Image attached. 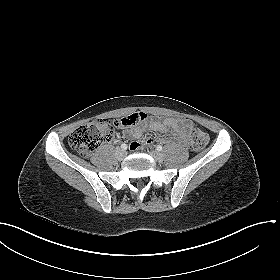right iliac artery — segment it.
<instances>
[{"label": "right iliac artery", "mask_w": 280, "mask_h": 280, "mask_svg": "<svg viewBox=\"0 0 280 280\" xmlns=\"http://www.w3.org/2000/svg\"><path fill=\"white\" fill-rule=\"evenodd\" d=\"M121 148H122L123 150H126V149H127V145H126L125 143H123V144H121Z\"/></svg>", "instance_id": "1"}]
</instances>
